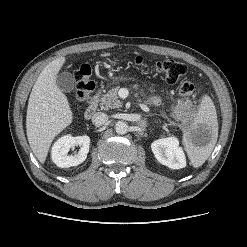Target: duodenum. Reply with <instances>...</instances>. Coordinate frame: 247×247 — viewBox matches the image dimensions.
<instances>
[{
	"instance_id": "1",
	"label": "duodenum",
	"mask_w": 247,
	"mask_h": 247,
	"mask_svg": "<svg viewBox=\"0 0 247 247\" xmlns=\"http://www.w3.org/2000/svg\"><path fill=\"white\" fill-rule=\"evenodd\" d=\"M99 94H100L99 91H97L95 93L91 102L89 103L88 107L86 108L85 113H84V116L86 119H91L95 115V113L97 112Z\"/></svg>"
}]
</instances>
